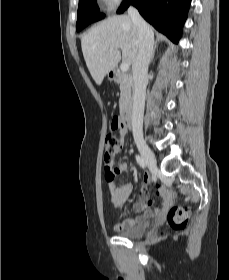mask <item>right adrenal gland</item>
Returning a JSON list of instances; mask_svg holds the SVG:
<instances>
[{"mask_svg":"<svg viewBox=\"0 0 229 280\" xmlns=\"http://www.w3.org/2000/svg\"><path fill=\"white\" fill-rule=\"evenodd\" d=\"M156 49H157V43H156L155 46H154V49H153V52H152V56H151L150 62H152L153 59H154Z\"/></svg>","mask_w":229,"mask_h":280,"instance_id":"right-adrenal-gland-1","label":"right adrenal gland"}]
</instances>
